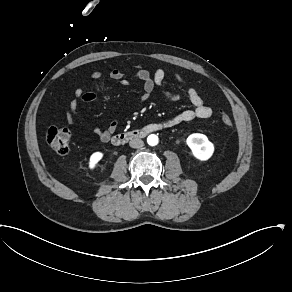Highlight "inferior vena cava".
Masks as SVG:
<instances>
[{
	"label": "inferior vena cava",
	"mask_w": 292,
	"mask_h": 292,
	"mask_svg": "<svg viewBox=\"0 0 292 292\" xmlns=\"http://www.w3.org/2000/svg\"><path fill=\"white\" fill-rule=\"evenodd\" d=\"M129 145L131 148H141L144 146V142L139 138H135L130 140Z\"/></svg>",
	"instance_id": "inferior-vena-cava-1"
}]
</instances>
